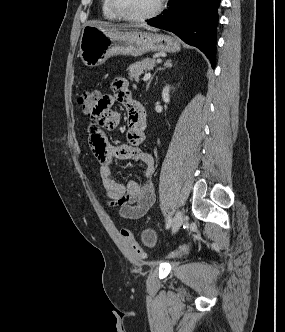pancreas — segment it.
<instances>
[{
    "label": "pancreas",
    "instance_id": "cf45deb5",
    "mask_svg": "<svg viewBox=\"0 0 285 332\" xmlns=\"http://www.w3.org/2000/svg\"><path fill=\"white\" fill-rule=\"evenodd\" d=\"M155 65V60L146 58L129 66V78L138 79L144 71H149Z\"/></svg>",
    "mask_w": 285,
    "mask_h": 332
}]
</instances>
